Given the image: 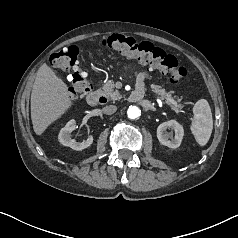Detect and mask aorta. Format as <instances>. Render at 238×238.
I'll return each mask as SVG.
<instances>
[{"label":"aorta","mask_w":238,"mask_h":238,"mask_svg":"<svg viewBox=\"0 0 238 238\" xmlns=\"http://www.w3.org/2000/svg\"><path fill=\"white\" fill-rule=\"evenodd\" d=\"M141 114L140 109L137 106H129L127 110V115L130 119H135Z\"/></svg>","instance_id":"762f6f07"}]
</instances>
